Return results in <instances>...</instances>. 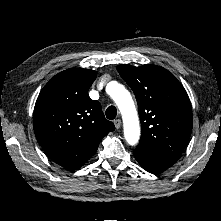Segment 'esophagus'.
<instances>
[{"label":"esophagus","mask_w":221,"mask_h":221,"mask_svg":"<svg viewBox=\"0 0 221 221\" xmlns=\"http://www.w3.org/2000/svg\"><path fill=\"white\" fill-rule=\"evenodd\" d=\"M114 125L116 129H119L121 127V120L120 119L114 120Z\"/></svg>","instance_id":"esophagus-1"}]
</instances>
